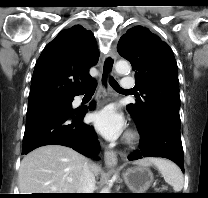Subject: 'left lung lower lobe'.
Listing matches in <instances>:
<instances>
[{
  "label": "left lung lower lobe",
  "instance_id": "obj_1",
  "mask_svg": "<svg viewBox=\"0 0 208 198\" xmlns=\"http://www.w3.org/2000/svg\"><path fill=\"white\" fill-rule=\"evenodd\" d=\"M139 134L140 150H136L128 160L163 157L175 162L184 172L180 125L169 118L156 116L139 130Z\"/></svg>",
  "mask_w": 208,
  "mask_h": 198
}]
</instances>
